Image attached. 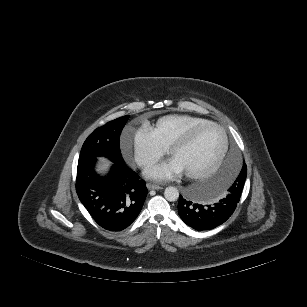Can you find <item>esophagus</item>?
<instances>
[{
  "instance_id": "34e87169",
  "label": "esophagus",
  "mask_w": 307,
  "mask_h": 307,
  "mask_svg": "<svg viewBox=\"0 0 307 307\" xmlns=\"http://www.w3.org/2000/svg\"><path fill=\"white\" fill-rule=\"evenodd\" d=\"M147 188L149 190H159V189H162L161 186H159L157 184H152V183H147Z\"/></svg>"
}]
</instances>
